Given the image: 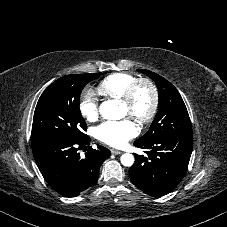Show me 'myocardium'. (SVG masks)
<instances>
[{"label":"myocardium","instance_id":"obj_1","mask_svg":"<svg viewBox=\"0 0 227 227\" xmlns=\"http://www.w3.org/2000/svg\"><path fill=\"white\" fill-rule=\"evenodd\" d=\"M142 86H146L150 90L152 101L149 110L144 115L139 116L134 113L133 108L138 91ZM120 101L131 109V115L136 122L143 125L151 121L157 113L159 106V92L157 86L150 79L138 78L127 88Z\"/></svg>","mask_w":227,"mask_h":227}]
</instances>
